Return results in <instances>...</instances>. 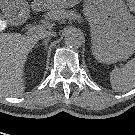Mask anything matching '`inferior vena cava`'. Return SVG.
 Segmentation results:
<instances>
[{"label": "inferior vena cava", "mask_w": 135, "mask_h": 135, "mask_svg": "<svg viewBox=\"0 0 135 135\" xmlns=\"http://www.w3.org/2000/svg\"><path fill=\"white\" fill-rule=\"evenodd\" d=\"M53 36H56V33L55 32H50V31H42L40 34H39V38L40 39H43V38H50V37H53Z\"/></svg>", "instance_id": "1"}]
</instances>
